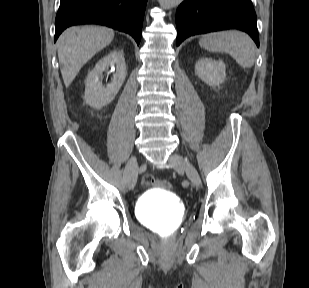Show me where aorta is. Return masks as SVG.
Returning <instances> with one entry per match:
<instances>
[{
    "label": "aorta",
    "mask_w": 309,
    "mask_h": 288,
    "mask_svg": "<svg viewBox=\"0 0 309 288\" xmlns=\"http://www.w3.org/2000/svg\"><path fill=\"white\" fill-rule=\"evenodd\" d=\"M183 0H159L160 7L163 9H171L178 6Z\"/></svg>",
    "instance_id": "aorta-1"
}]
</instances>
